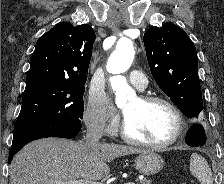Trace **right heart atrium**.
<instances>
[{"label":"right heart atrium","instance_id":"obj_1","mask_svg":"<svg viewBox=\"0 0 224 184\" xmlns=\"http://www.w3.org/2000/svg\"><path fill=\"white\" fill-rule=\"evenodd\" d=\"M86 126L95 132L108 134L116 130L118 117L114 114L109 98L102 90H92L84 110Z\"/></svg>","mask_w":224,"mask_h":184}]
</instances>
